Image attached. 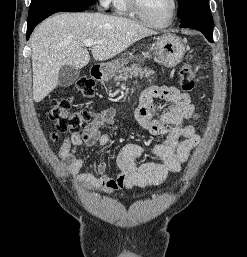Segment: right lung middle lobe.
<instances>
[{
    "instance_id": "dd1d6c3e",
    "label": "right lung middle lobe",
    "mask_w": 247,
    "mask_h": 257,
    "mask_svg": "<svg viewBox=\"0 0 247 257\" xmlns=\"http://www.w3.org/2000/svg\"><path fill=\"white\" fill-rule=\"evenodd\" d=\"M95 0H31L29 12L36 10L40 7L52 5V4H82L90 5L94 4Z\"/></svg>"
}]
</instances>
